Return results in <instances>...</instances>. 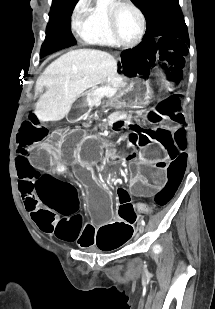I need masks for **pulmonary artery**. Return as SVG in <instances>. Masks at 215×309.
<instances>
[{"instance_id": "pulmonary-artery-1", "label": "pulmonary artery", "mask_w": 215, "mask_h": 309, "mask_svg": "<svg viewBox=\"0 0 215 309\" xmlns=\"http://www.w3.org/2000/svg\"><path fill=\"white\" fill-rule=\"evenodd\" d=\"M93 6L94 8L104 9L106 6H109V3H107V0L94 1ZM98 14H101V11H98Z\"/></svg>"}]
</instances>
